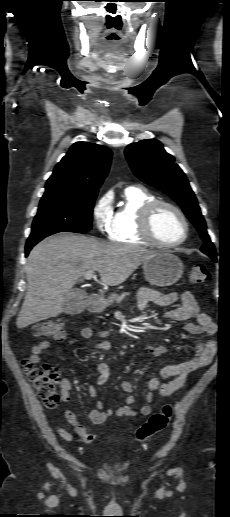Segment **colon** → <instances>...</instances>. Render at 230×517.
<instances>
[{
  "label": "colon",
  "instance_id": "colon-1",
  "mask_svg": "<svg viewBox=\"0 0 230 517\" xmlns=\"http://www.w3.org/2000/svg\"><path fill=\"white\" fill-rule=\"evenodd\" d=\"M189 282L194 285L205 284L210 280L208 268L202 264H196L189 270ZM32 333L38 337H50L62 339L66 331L60 321L39 322L32 326ZM26 376L33 384L39 397L46 407L52 408L57 405L59 396L57 384L60 379L58 370L50 365H37L31 361L24 363ZM172 407L166 405L159 413L152 415L136 432V440L145 442L155 434L162 431L170 422Z\"/></svg>",
  "mask_w": 230,
  "mask_h": 517
}]
</instances>
